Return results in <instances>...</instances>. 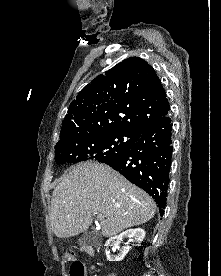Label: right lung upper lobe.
<instances>
[{
	"instance_id": "1",
	"label": "right lung upper lobe",
	"mask_w": 221,
	"mask_h": 276,
	"mask_svg": "<svg viewBox=\"0 0 221 276\" xmlns=\"http://www.w3.org/2000/svg\"><path fill=\"white\" fill-rule=\"evenodd\" d=\"M170 109L154 69L130 57L97 76L72 101L59 142L101 132L133 135L146 129Z\"/></svg>"
}]
</instances>
